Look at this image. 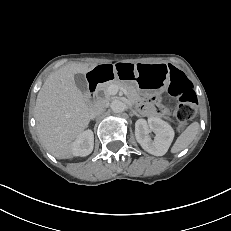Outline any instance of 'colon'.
Returning <instances> with one entry per match:
<instances>
[{"instance_id":"obj_1","label":"colon","mask_w":231,"mask_h":231,"mask_svg":"<svg viewBox=\"0 0 231 231\" xmlns=\"http://www.w3.org/2000/svg\"><path fill=\"white\" fill-rule=\"evenodd\" d=\"M172 95L177 97L175 110L179 130H182L195 115L197 96L193 90L192 83L181 71H174L169 88Z\"/></svg>"}]
</instances>
